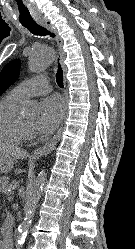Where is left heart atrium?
<instances>
[{"label": "left heart atrium", "instance_id": "1", "mask_svg": "<svg viewBox=\"0 0 135 249\" xmlns=\"http://www.w3.org/2000/svg\"><path fill=\"white\" fill-rule=\"evenodd\" d=\"M65 112V103L59 95L45 98L40 105V114L36 122V129L40 132H51L61 122Z\"/></svg>", "mask_w": 135, "mask_h": 249}]
</instances>
